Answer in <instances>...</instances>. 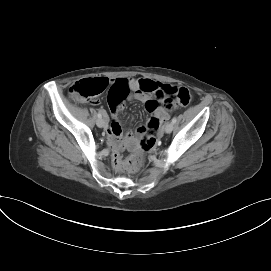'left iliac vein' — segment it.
<instances>
[{"label":"left iliac vein","mask_w":271,"mask_h":271,"mask_svg":"<svg viewBox=\"0 0 271 271\" xmlns=\"http://www.w3.org/2000/svg\"><path fill=\"white\" fill-rule=\"evenodd\" d=\"M173 123H171V122H169V123H167L166 125H165V127H164V131L166 132V133H171L172 132V130H173Z\"/></svg>","instance_id":"1"}]
</instances>
